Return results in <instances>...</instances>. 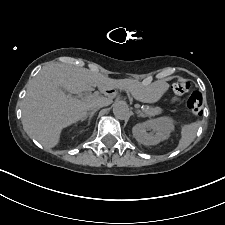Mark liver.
<instances>
[{
    "mask_svg": "<svg viewBox=\"0 0 225 225\" xmlns=\"http://www.w3.org/2000/svg\"><path fill=\"white\" fill-rule=\"evenodd\" d=\"M98 87L103 93L120 87L118 81L91 72L88 69L67 64H52L45 66L28 83L27 93L22 105V124L29 137L37 140L46 148H53L60 142L64 128L83 120L90 106L99 98L106 105L111 103L108 97L87 96L77 99L71 94H82ZM148 91L133 89L136 100L147 102Z\"/></svg>",
    "mask_w": 225,
    "mask_h": 225,
    "instance_id": "6515ba94",
    "label": "liver"
}]
</instances>
